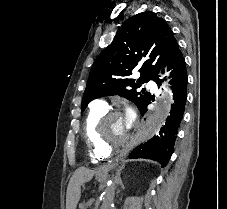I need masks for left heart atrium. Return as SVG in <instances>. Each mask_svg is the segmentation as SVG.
I'll return each mask as SVG.
<instances>
[{
  "mask_svg": "<svg viewBox=\"0 0 227 209\" xmlns=\"http://www.w3.org/2000/svg\"><path fill=\"white\" fill-rule=\"evenodd\" d=\"M123 119L126 125L130 128L135 120V112L131 108H128L123 115Z\"/></svg>",
  "mask_w": 227,
  "mask_h": 209,
  "instance_id": "1",
  "label": "left heart atrium"
}]
</instances>
